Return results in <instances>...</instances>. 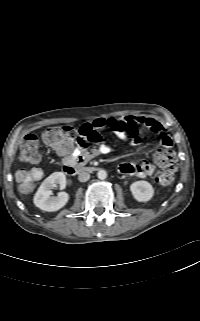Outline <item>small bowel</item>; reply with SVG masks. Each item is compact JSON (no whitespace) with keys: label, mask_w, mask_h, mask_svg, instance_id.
Returning a JSON list of instances; mask_svg holds the SVG:
<instances>
[{"label":"small bowel","mask_w":200,"mask_h":321,"mask_svg":"<svg viewBox=\"0 0 200 321\" xmlns=\"http://www.w3.org/2000/svg\"><path fill=\"white\" fill-rule=\"evenodd\" d=\"M83 127L91 130H107L116 135L119 139L136 145L140 139V128H147L154 135L158 136L164 150H158L154 154V158L166 150H171L173 142L165 128L154 118L144 116H125L119 118H99L90 123L84 124ZM111 152V147L102 143L95 149L82 150L74 148L70 152L60 151L62 160L67 166L76 164H85L89 160ZM119 172L125 175L146 177L150 176L155 171L153 163L146 159H141L139 162H124L118 167Z\"/></svg>","instance_id":"small-bowel-1"}]
</instances>
